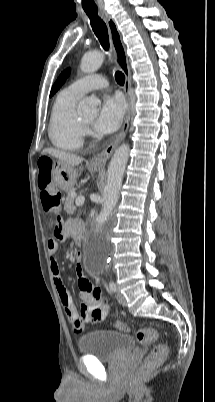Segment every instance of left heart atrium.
<instances>
[{
	"mask_svg": "<svg viewBox=\"0 0 215 402\" xmlns=\"http://www.w3.org/2000/svg\"><path fill=\"white\" fill-rule=\"evenodd\" d=\"M125 113V103L118 95H106L103 98L95 128L101 133H112L117 130Z\"/></svg>",
	"mask_w": 215,
	"mask_h": 402,
	"instance_id": "1",
	"label": "left heart atrium"
}]
</instances>
